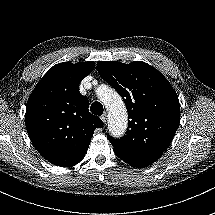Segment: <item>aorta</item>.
I'll return each mask as SVG.
<instances>
[{"mask_svg": "<svg viewBox=\"0 0 215 215\" xmlns=\"http://www.w3.org/2000/svg\"><path fill=\"white\" fill-rule=\"evenodd\" d=\"M110 115L111 131L121 134L127 127V111L122 98L109 90L101 95Z\"/></svg>", "mask_w": 215, "mask_h": 215, "instance_id": "762f6f07", "label": "aorta"}]
</instances>
